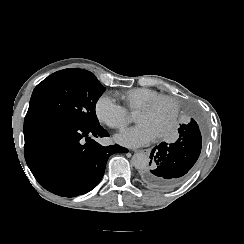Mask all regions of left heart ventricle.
<instances>
[{
	"label": "left heart ventricle",
	"instance_id": "obj_1",
	"mask_svg": "<svg viewBox=\"0 0 244 244\" xmlns=\"http://www.w3.org/2000/svg\"><path fill=\"white\" fill-rule=\"evenodd\" d=\"M169 105L166 103L157 102L148 108V111H138L135 113L134 118L139 124H144L153 130L158 136H161L166 130L168 125Z\"/></svg>",
	"mask_w": 244,
	"mask_h": 244
}]
</instances>
